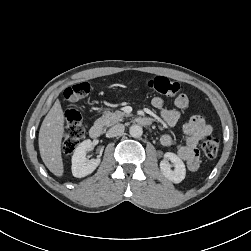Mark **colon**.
Listing matches in <instances>:
<instances>
[{"instance_id": "obj_1", "label": "colon", "mask_w": 251, "mask_h": 251, "mask_svg": "<svg viewBox=\"0 0 251 251\" xmlns=\"http://www.w3.org/2000/svg\"><path fill=\"white\" fill-rule=\"evenodd\" d=\"M143 84L149 90L165 96H174L183 89L182 84L164 76L150 78L143 81ZM89 93L90 85L83 82L67 88L64 92V98L69 103H76L85 100ZM65 117L62 149L64 154L69 155L75 151L83 139L84 126L80 113L74 109L67 110ZM202 150L208 159H214L219 151V140L215 137H207L202 143Z\"/></svg>"}]
</instances>
